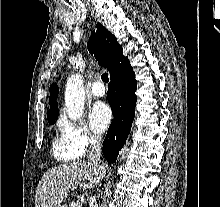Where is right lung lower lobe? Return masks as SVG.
<instances>
[{"instance_id":"1","label":"right lung lower lobe","mask_w":220,"mask_h":207,"mask_svg":"<svg viewBox=\"0 0 220 207\" xmlns=\"http://www.w3.org/2000/svg\"><path fill=\"white\" fill-rule=\"evenodd\" d=\"M107 99L111 106L114 120L103 142L104 157L115 162L131 129L135 115L137 82L128 57H122L110 73Z\"/></svg>"}]
</instances>
